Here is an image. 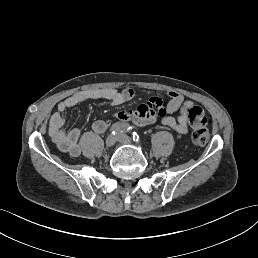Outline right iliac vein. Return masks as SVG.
Segmentation results:
<instances>
[{
  "label": "right iliac vein",
  "instance_id": "right-iliac-vein-1",
  "mask_svg": "<svg viewBox=\"0 0 258 258\" xmlns=\"http://www.w3.org/2000/svg\"><path fill=\"white\" fill-rule=\"evenodd\" d=\"M116 143V137L114 135H109L106 140H105V145L108 148H111L115 145Z\"/></svg>",
  "mask_w": 258,
  "mask_h": 258
}]
</instances>
